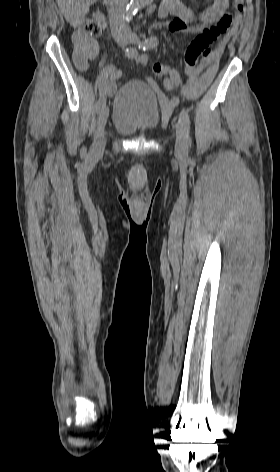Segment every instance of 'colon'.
<instances>
[{
  "label": "colon",
  "instance_id": "obj_1",
  "mask_svg": "<svg viewBox=\"0 0 280 472\" xmlns=\"http://www.w3.org/2000/svg\"><path fill=\"white\" fill-rule=\"evenodd\" d=\"M233 12L225 13L214 25L202 30L188 45L185 52V62L188 65H196L199 57L209 56L212 49L211 44L226 34L231 26H237L242 20L243 0H234ZM80 32L87 36H96L100 33L101 27L95 20H88L80 26ZM78 68H84L86 61L80 56L73 57ZM170 67L157 63L153 66V72L157 76H169Z\"/></svg>",
  "mask_w": 280,
  "mask_h": 472
}]
</instances>
